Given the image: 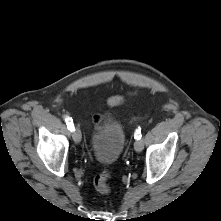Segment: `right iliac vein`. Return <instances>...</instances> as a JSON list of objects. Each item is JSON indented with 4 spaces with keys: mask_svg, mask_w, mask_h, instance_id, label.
Returning a JSON list of instances; mask_svg holds the SVG:
<instances>
[{
    "mask_svg": "<svg viewBox=\"0 0 221 221\" xmlns=\"http://www.w3.org/2000/svg\"><path fill=\"white\" fill-rule=\"evenodd\" d=\"M72 138H73L75 143H80L82 136H81V131L78 128H76L73 131Z\"/></svg>",
    "mask_w": 221,
    "mask_h": 221,
    "instance_id": "1",
    "label": "right iliac vein"
}]
</instances>
